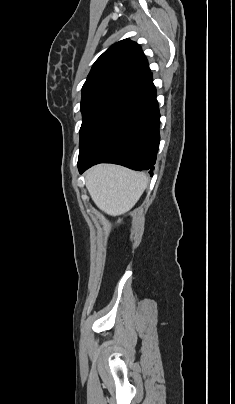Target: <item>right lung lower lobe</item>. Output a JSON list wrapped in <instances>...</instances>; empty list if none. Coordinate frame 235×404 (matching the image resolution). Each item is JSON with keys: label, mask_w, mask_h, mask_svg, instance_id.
I'll use <instances>...</instances> for the list:
<instances>
[{"label": "right lung lower lobe", "mask_w": 235, "mask_h": 404, "mask_svg": "<svg viewBox=\"0 0 235 404\" xmlns=\"http://www.w3.org/2000/svg\"><path fill=\"white\" fill-rule=\"evenodd\" d=\"M160 114L149 73L129 84L80 146L83 173L98 163H114L153 173L159 147Z\"/></svg>", "instance_id": "98d812e1"}]
</instances>
